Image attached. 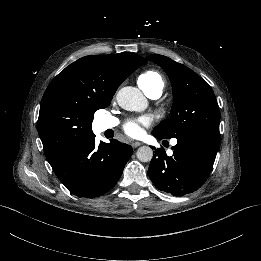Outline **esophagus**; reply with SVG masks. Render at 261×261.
<instances>
[{"mask_svg":"<svg viewBox=\"0 0 261 261\" xmlns=\"http://www.w3.org/2000/svg\"><path fill=\"white\" fill-rule=\"evenodd\" d=\"M141 144H142L141 142L136 141V142H133L131 145H132L133 148H137Z\"/></svg>","mask_w":261,"mask_h":261,"instance_id":"obj_1","label":"esophagus"}]
</instances>
